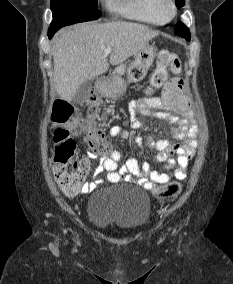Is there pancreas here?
Here are the masks:
<instances>
[{"label":"pancreas","mask_w":233,"mask_h":284,"mask_svg":"<svg viewBox=\"0 0 233 284\" xmlns=\"http://www.w3.org/2000/svg\"><path fill=\"white\" fill-rule=\"evenodd\" d=\"M124 65H121L117 70L120 72V73H123L124 72Z\"/></svg>","instance_id":"obj_1"}]
</instances>
